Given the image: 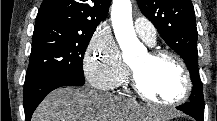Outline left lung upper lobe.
<instances>
[{"mask_svg": "<svg viewBox=\"0 0 217 121\" xmlns=\"http://www.w3.org/2000/svg\"><path fill=\"white\" fill-rule=\"evenodd\" d=\"M141 12L185 61L193 83L190 103L204 118L203 84L198 71L197 28L191 0H137Z\"/></svg>", "mask_w": 217, "mask_h": 121, "instance_id": "5c2ea615", "label": "left lung upper lobe"}]
</instances>
